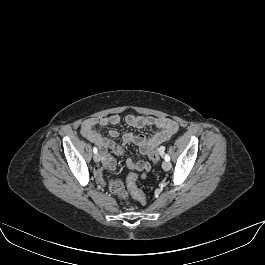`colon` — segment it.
<instances>
[{"label":"colon","mask_w":265,"mask_h":265,"mask_svg":"<svg viewBox=\"0 0 265 265\" xmlns=\"http://www.w3.org/2000/svg\"><path fill=\"white\" fill-rule=\"evenodd\" d=\"M165 148L163 146L156 147L149 155V158L154 162L157 163L162 154L164 153ZM137 174L136 173H129L126 179L127 188L130 194L138 200L139 202H145L146 197L145 194L141 189L137 186ZM109 189L112 193L116 194L121 198H125L127 196V192L124 189V185L120 181L111 180L109 182Z\"/></svg>","instance_id":"5ec220e1"}]
</instances>
